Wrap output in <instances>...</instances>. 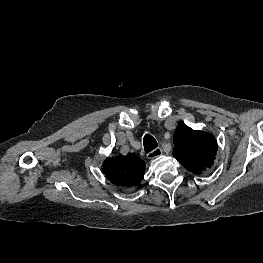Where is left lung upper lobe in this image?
<instances>
[{"label":"left lung upper lobe","instance_id":"5c2ea615","mask_svg":"<svg viewBox=\"0 0 263 263\" xmlns=\"http://www.w3.org/2000/svg\"><path fill=\"white\" fill-rule=\"evenodd\" d=\"M173 156L190 172L200 174L210 168L218 150L211 133L180 124L174 133Z\"/></svg>","mask_w":263,"mask_h":263}]
</instances>
